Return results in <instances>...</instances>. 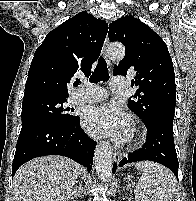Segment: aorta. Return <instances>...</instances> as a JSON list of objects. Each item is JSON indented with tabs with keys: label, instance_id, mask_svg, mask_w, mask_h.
I'll return each instance as SVG.
<instances>
[{
	"label": "aorta",
	"instance_id": "762f6f07",
	"mask_svg": "<svg viewBox=\"0 0 196 201\" xmlns=\"http://www.w3.org/2000/svg\"><path fill=\"white\" fill-rule=\"evenodd\" d=\"M106 52L108 58L113 61H120L125 55V49L121 44L110 45ZM94 161L98 178L103 182H110L112 178V156L108 142L100 143L96 147Z\"/></svg>",
	"mask_w": 196,
	"mask_h": 201
}]
</instances>
